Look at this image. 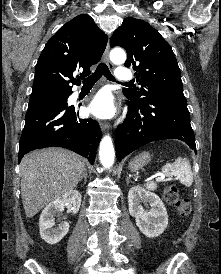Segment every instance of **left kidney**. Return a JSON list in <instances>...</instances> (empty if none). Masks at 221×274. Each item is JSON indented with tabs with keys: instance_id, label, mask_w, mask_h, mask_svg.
<instances>
[{
	"instance_id": "left-kidney-1",
	"label": "left kidney",
	"mask_w": 221,
	"mask_h": 274,
	"mask_svg": "<svg viewBox=\"0 0 221 274\" xmlns=\"http://www.w3.org/2000/svg\"><path fill=\"white\" fill-rule=\"evenodd\" d=\"M141 202L149 203L150 211H145ZM129 213L136 218V225L147 237L161 235L168 225V214L161 199L140 186H134L128 193Z\"/></svg>"
}]
</instances>
